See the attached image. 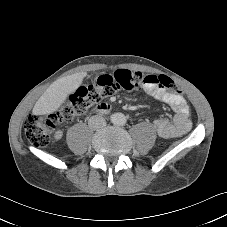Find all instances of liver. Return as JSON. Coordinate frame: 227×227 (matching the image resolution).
Segmentation results:
<instances>
[{
	"label": "liver",
	"mask_w": 227,
	"mask_h": 227,
	"mask_svg": "<svg viewBox=\"0 0 227 227\" xmlns=\"http://www.w3.org/2000/svg\"><path fill=\"white\" fill-rule=\"evenodd\" d=\"M86 76L87 72H79L54 81L35 103L33 114L45 115L58 110L68 95L82 84Z\"/></svg>",
	"instance_id": "obj_1"
}]
</instances>
